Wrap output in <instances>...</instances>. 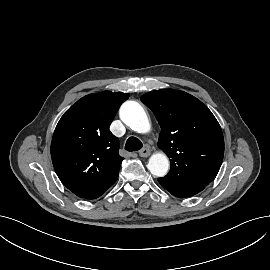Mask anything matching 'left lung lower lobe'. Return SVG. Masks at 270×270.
<instances>
[{"mask_svg":"<svg viewBox=\"0 0 270 270\" xmlns=\"http://www.w3.org/2000/svg\"><path fill=\"white\" fill-rule=\"evenodd\" d=\"M164 187V186H163ZM166 188L172 195L176 197H190L193 196L204 189V187H191V188H183V189H176V188Z\"/></svg>","mask_w":270,"mask_h":270,"instance_id":"left-lung-lower-lobe-1","label":"left lung lower lobe"}]
</instances>
